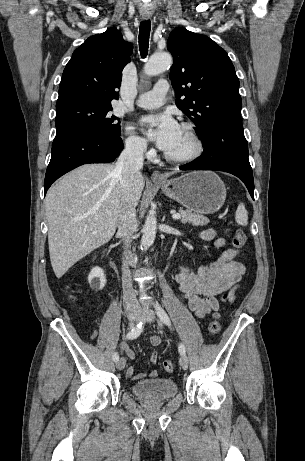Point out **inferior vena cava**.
I'll return each instance as SVG.
<instances>
[{"label": "inferior vena cava", "instance_id": "obj_1", "mask_svg": "<svg viewBox=\"0 0 305 461\" xmlns=\"http://www.w3.org/2000/svg\"><path fill=\"white\" fill-rule=\"evenodd\" d=\"M145 145L142 143L127 144L120 154L115 166V175L120 180V185L124 193L132 186L134 178L140 176V169L143 167V154ZM122 207L118 214V232L125 237V248L130 247L131 237L137 229L136 210L129 196L122 198ZM128 258V257H127ZM122 287L123 302L125 308L138 306L135 292L132 287L128 261L124 260L122 265Z\"/></svg>", "mask_w": 305, "mask_h": 461}]
</instances>
